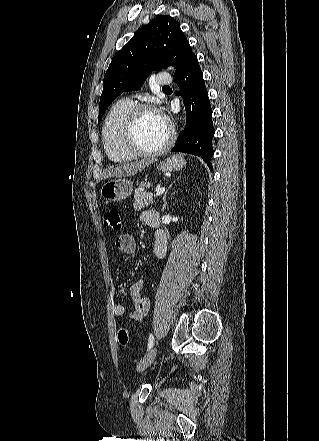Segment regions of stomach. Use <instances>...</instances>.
Wrapping results in <instances>:
<instances>
[{"instance_id":"stomach-1","label":"stomach","mask_w":319,"mask_h":441,"mask_svg":"<svg viewBox=\"0 0 319 441\" xmlns=\"http://www.w3.org/2000/svg\"><path fill=\"white\" fill-rule=\"evenodd\" d=\"M185 160L181 155H173L160 163L158 169L162 172H171L182 169ZM133 185L125 179H114L107 181L101 188V196L108 202H118L126 199L132 193Z\"/></svg>"}]
</instances>
